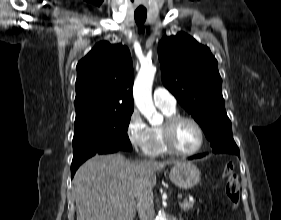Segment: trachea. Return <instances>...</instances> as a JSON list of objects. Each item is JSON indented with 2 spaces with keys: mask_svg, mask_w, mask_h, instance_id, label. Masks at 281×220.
I'll return each mask as SVG.
<instances>
[{
  "mask_svg": "<svg viewBox=\"0 0 281 220\" xmlns=\"http://www.w3.org/2000/svg\"><path fill=\"white\" fill-rule=\"evenodd\" d=\"M135 21L138 25H143L146 17H147V11L146 10H140L137 9L134 13Z\"/></svg>",
  "mask_w": 281,
  "mask_h": 220,
  "instance_id": "obj_1",
  "label": "trachea"
}]
</instances>
